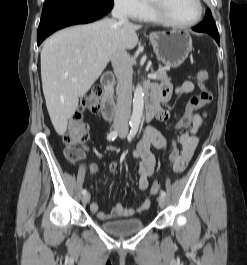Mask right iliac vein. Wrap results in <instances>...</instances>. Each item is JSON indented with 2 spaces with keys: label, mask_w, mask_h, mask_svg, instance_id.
<instances>
[{
  "label": "right iliac vein",
  "mask_w": 247,
  "mask_h": 265,
  "mask_svg": "<svg viewBox=\"0 0 247 265\" xmlns=\"http://www.w3.org/2000/svg\"><path fill=\"white\" fill-rule=\"evenodd\" d=\"M90 201V194L86 193L85 195H83L82 197V203L83 204H87Z\"/></svg>",
  "instance_id": "obj_1"
}]
</instances>
